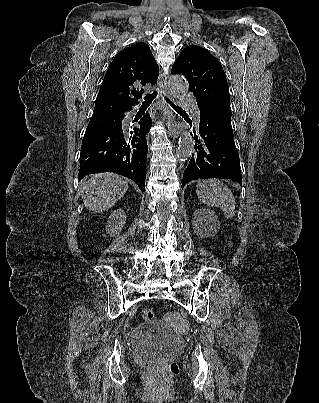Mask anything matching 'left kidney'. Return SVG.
<instances>
[{
	"mask_svg": "<svg viewBox=\"0 0 319 403\" xmlns=\"http://www.w3.org/2000/svg\"><path fill=\"white\" fill-rule=\"evenodd\" d=\"M196 215L204 222L206 223V225L208 224V222H210V220H213L216 224V226H219V222H218V218L216 216V214L209 210V209H198L196 211Z\"/></svg>",
	"mask_w": 319,
	"mask_h": 403,
	"instance_id": "left-kidney-1",
	"label": "left kidney"
}]
</instances>
